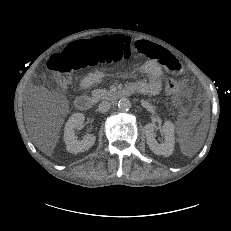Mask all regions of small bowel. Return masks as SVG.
Returning <instances> with one entry per match:
<instances>
[{
	"instance_id": "small-bowel-1",
	"label": "small bowel",
	"mask_w": 231,
	"mask_h": 231,
	"mask_svg": "<svg viewBox=\"0 0 231 231\" xmlns=\"http://www.w3.org/2000/svg\"><path fill=\"white\" fill-rule=\"evenodd\" d=\"M134 49L145 55L148 59L138 66V70L147 76V81H138L131 84L134 91L146 95H157L162 89L161 76L163 68L171 73L180 74L182 72L181 63L166 49L147 40L135 42ZM104 74L101 71H95L86 75L81 80V87L87 90L98 84Z\"/></svg>"
}]
</instances>
